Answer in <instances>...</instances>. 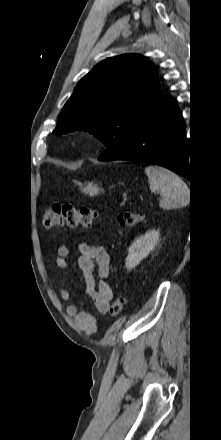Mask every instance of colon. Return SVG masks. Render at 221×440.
Returning <instances> with one entry per match:
<instances>
[{"label": "colon", "instance_id": "obj_1", "mask_svg": "<svg viewBox=\"0 0 221 440\" xmlns=\"http://www.w3.org/2000/svg\"><path fill=\"white\" fill-rule=\"evenodd\" d=\"M97 218V212L86 207H77L70 204H54L49 206L43 216V223L46 228L78 226L90 227ZM144 215L138 212H123L116 216V222L120 227H134L143 221ZM125 305V298L118 296L112 303L110 312L118 316Z\"/></svg>", "mask_w": 221, "mask_h": 440}]
</instances>
